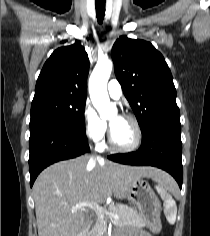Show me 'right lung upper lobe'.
I'll return each instance as SVG.
<instances>
[{
  "instance_id": "right-lung-upper-lobe-1",
  "label": "right lung upper lobe",
  "mask_w": 210,
  "mask_h": 236,
  "mask_svg": "<svg viewBox=\"0 0 210 236\" xmlns=\"http://www.w3.org/2000/svg\"><path fill=\"white\" fill-rule=\"evenodd\" d=\"M88 55L78 43L55 50L37 79L33 101L51 96L86 98Z\"/></svg>"
}]
</instances>
